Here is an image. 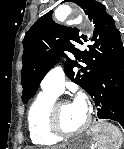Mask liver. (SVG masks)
I'll return each instance as SVG.
<instances>
[{"mask_svg":"<svg viewBox=\"0 0 124 149\" xmlns=\"http://www.w3.org/2000/svg\"><path fill=\"white\" fill-rule=\"evenodd\" d=\"M55 149H62V146H60V147H57V148H55Z\"/></svg>","mask_w":124,"mask_h":149,"instance_id":"liver-1","label":"liver"}]
</instances>
